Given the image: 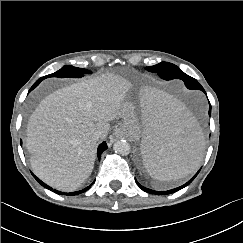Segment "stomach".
<instances>
[{
  "mask_svg": "<svg viewBox=\"0 0 243 243\" xmlns=\"http://www.w3.org/2000/svg\"><path fill=\"white\" fill-rule=\"evenodd\" d=\"M123 122L120 123V129L123 134L130 139L139 140V121L134 113L132 104L126 102L122 109Z\"/></svg>",
  "mask_w": 243,
  "mask_h": 243,
  "instance_id": "stomach-1",
  "label": "stomach"
}]
</instances>
